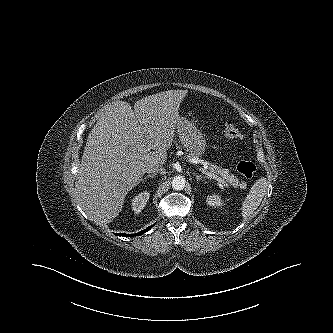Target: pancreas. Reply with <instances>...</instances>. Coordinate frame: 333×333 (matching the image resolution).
<instances>
[{"label":"pancreas","instance_id":"obj_1","mask_svg":"<svg viewBox=\"0 0 333 333\" xmlns=\"http://www.w3.org/2000/svg\"><path fill=\"white\" fill-rule=\"evenodd\" d=\"M187 159H198L197 156H195L194 154L192 153H189L186 157ZM209 170L214 174H217V175H220L221 178L226 182V183H229L233 186H237L238 183H239V180L237 179L236 176H234L233 174H231L229 172L228 169H222L220 168L219 166L217 165H214V164H209Z\"/></svg>","mask_w":333,"mask_h":333}]
</instances>
